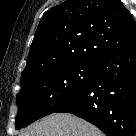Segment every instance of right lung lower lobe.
<instances>
[{
  "label": "right lung lower lobe",
  "instance_id": "right-lung-lower-lobe-1",
  "mask_svg": "<svg viewBox=\"0 0 136 136\" xmlns=\"http://www.w3.org/2000/svg\"><path fill=\"white\" fill-rule=\"evenodd\" d=\"M72 113L107 136H135L136 41L109 54L90 84L54 113Z\"/></svg>",
  "mask_w": 136,
  "mask_h": 136
}]
</instances>
